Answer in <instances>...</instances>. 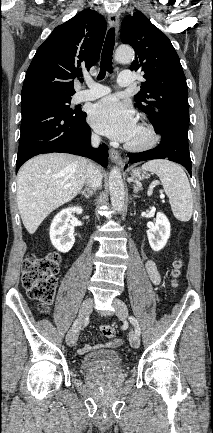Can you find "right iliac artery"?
<instances>
[{"instance_id":"1","label":"right iliac artery","mask_w":213,"mask_h":433,"mask_svg":"<svg viewBox=\"0 0 213 433\" xmlns=\"http://www.w3.org/2000/svg\"><path fill=\"white\" fill-rule=\"evenodd\" d=\"M79 323V320L77 319L75 322H74V327L77 325Z\"/></svg>"}]
</instances>
